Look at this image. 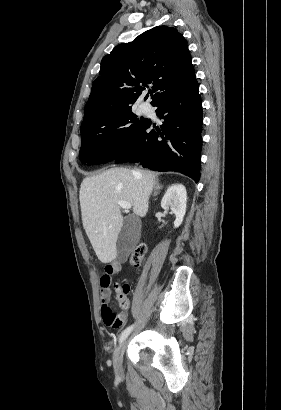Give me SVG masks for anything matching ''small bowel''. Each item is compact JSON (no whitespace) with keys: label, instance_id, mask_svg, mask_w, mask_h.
<instances>
[{"label":"small bowel","instance_id":"1","mask_svg":"<svg viewBox=\"0 0 281 410\" xmlns=\"http://www.w3.org/2000/svg\"><path fill=\"white\" fill-rule=\"evenodd\" d=\"M121 270V265L119 263L107 264L104 267V271L100 277V301H101V313L102 316L107 308H109L110 300V286L112 284V275L118 273ZM122 323L125 321V316L121 315ZM120 325V326H121Z\"/></svg>","mask_w":281,"mask_h":410}]
</instances>
